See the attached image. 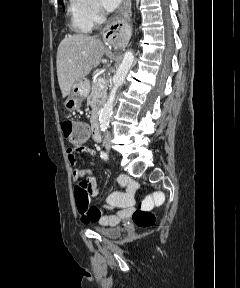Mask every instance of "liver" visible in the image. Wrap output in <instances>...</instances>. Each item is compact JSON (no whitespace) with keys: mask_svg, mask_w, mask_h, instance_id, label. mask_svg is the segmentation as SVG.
I'll list each match as a JSON object with an SVG mask.
<instances>
[{"mask_svg":"<svg viewBox=\"0 0 240 288\" xmlns=\"http://www.w3.org/2000/svg\"><path fill=\"white\" fill-rule=\"evenodd\" d=\"M107 52L103 43L88 35H68L57 50V76L62 96L65 98L75 83L84 79L96 68Z\"/></svg>","mask_w":240,"mask_h":288,"instance_id":"obj_1","label":"liver"}]
</instances>
